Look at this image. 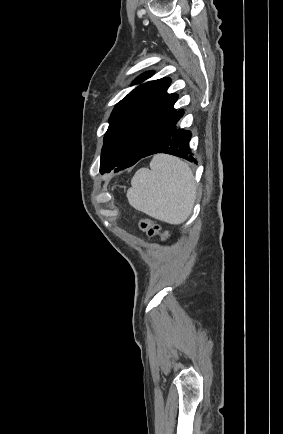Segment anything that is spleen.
<instances>
[{"instance_id": "3e777b00", "label": "spleen", "mask_w": 283, "mask_h": 434, "mask_svg": "<svg viewBox=\"0 0 283 434\" xmlns=\"http://www.w3.org/2000/svg\"><path fill=\"white\" fill-rule=\"evenodd\" d=\"M196 186L189 165L169 155H156L150 169H139L127 191L129 204L138 211L170 223L181 224L191 213Z\"/></svg>"}]
</instances>
